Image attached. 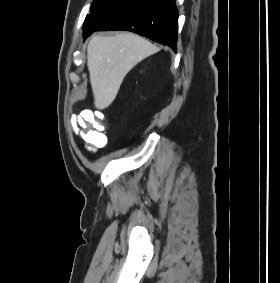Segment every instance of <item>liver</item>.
I'll use <instances>...</instances> for the list:
<instances>
[{"label": "liver", "mask_w": 280, "mask_h": 283, "mask_svg": "<svg viewBox=\"0 0 280 283\" xmlns=\"http://www.w3.org/2000/svg\"><path fill=\"white\" fill-rule=\"evenodd\" d=\"M158 48L132 34L94 36L87 47V66L97 109L107 108L115 99L125 75Z\"/></svg>", "instance_id": "1"}]
</instances>
